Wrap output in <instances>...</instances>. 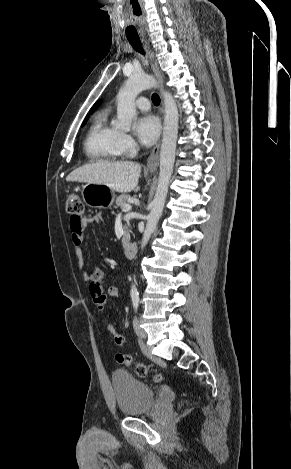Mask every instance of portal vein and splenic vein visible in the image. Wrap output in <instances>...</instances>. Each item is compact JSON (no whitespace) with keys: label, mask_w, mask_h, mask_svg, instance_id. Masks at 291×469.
Segmentation results:
<instances>
[{"label":"portal vein and splenic vein","mask_w":291,"mask_h":469,"mask_svg":"<svg viewBox=\"0 0 291 469\" xmlns=\"http://www.w3.org/2000/svg\"><path fill=\"white\" fill-rule=\"evenodd\" d=\"M131 210V205L130 204H126L123 208V211L126 212V211H129Z\"/></svg>","instance_id":"obj_1"}]
</instances>
